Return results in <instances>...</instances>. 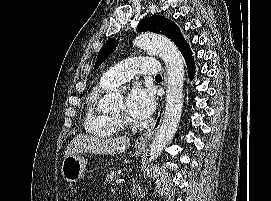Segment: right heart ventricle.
<instances>
[{
    "instance_id": "obj_1",
    "label": "right heart ventricle",
    "mask_w": 271,
    "mask_h": 201,
    "mask_svg": "<svg viewBox=\"0 0 271 201\" xmlns=\"http://www.w3.org/2000/svg\"><path fill=\"white\" fill-rule=\"evenodd\" d=\"M104 88H96L87 98V108L85 114V129L88 133L107 137L119 134L123 129V123L118 118L105 111L99 105V99Z\"/></svg>"
}]
</instances>
